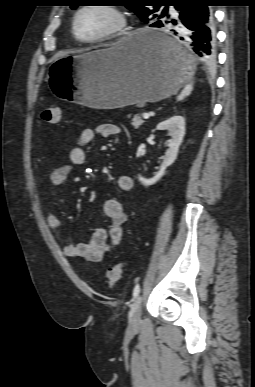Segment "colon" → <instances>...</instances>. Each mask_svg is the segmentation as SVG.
Listing matches in <instances>:
<instances>
[{"instance_id": "colon-1", "label": "colon", "mask_w": 255, "mask_h": 387, "mask_svg": "<svg viewBox=\"0 0 255 387\" xmlns=\"http://www.w3.org/2000/svg\"><path fill=\"white\" fill-rule=\"evenodd\" d=\"M41 118L45 122L57 124L61 120V108L56 105L50 106L42 111ZM125 265L126 261H122L107 269L105 280L109 287L115 286L120 280Z\"/></svg>"}]
</instances>
